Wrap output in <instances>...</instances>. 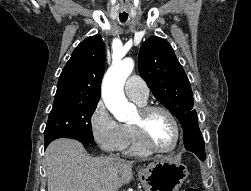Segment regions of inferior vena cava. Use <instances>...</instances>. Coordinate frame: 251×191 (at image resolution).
I'll return each mask as SVG.
<instances>
[{
    "label": "inferior vena cava",
    "mask_w": 251,
    "mask_h": 191,
    "mask_svg": "<svg viewBox=\"0 0 251 191\" xmlns=\"http://www.w3.org/2000/svg\"><path fill=\"white\" fill-rule=\"evenodd\" d=\"M109 157H111V159H118L117 155H109Z\"/></svg>",
    "instance_id": "602c4592"
}]
</instances>
